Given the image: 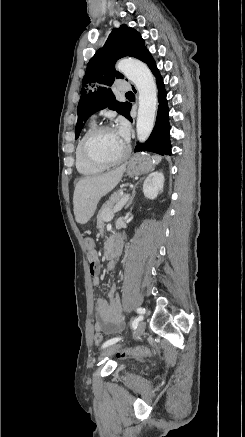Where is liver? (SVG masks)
Masks as SVG:
<instances>
[{
    "instance_id": "6515ba94",
    "label": "liver",
    "mask_w": 245,
    "mask_h": 437,
    "mask_svg": "<svg viewBox=\"0 0 245 437\" xmlns=\"http://www.w3.org/2000/svg\"><path fill=\"white\" fill-rule=\"evenodd\" d=\"M126 166L98 176H88L78 181L73 195L75 220L86 224L94 215L100 199L112 191L120 182Z\"/></svg>"
}]
</instances>
